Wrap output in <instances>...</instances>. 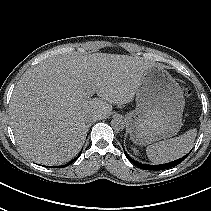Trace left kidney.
<instances>
[{"instance_id": "obj_1", "label": "left kidney", "mask_w": 211, "mask_h": 211, "mask_svg": "<svg viewBox=\"0 0 211 211\" xmlns=\"http://www.w3.org/2000/svg\"><path fill=\"white\" fill-rule=\"evenodd\" d=\"M134 152H135V154L137 153V151H136V150H134Z\"/></svg>"}]
</instances>
